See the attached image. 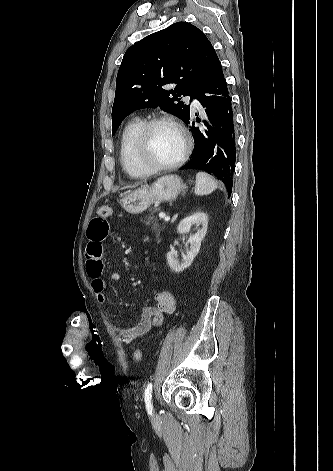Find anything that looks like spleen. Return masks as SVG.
I'll use <instances>...</instances> for the list:
<instances>
[{
	"mask_svg": "<svg viewBox=\"0 0 333 471\" xmlns=\"http://www.w3.org/2000/svg\"><path fill=\"white\" fill-rule=\"evenodd\" d=\"M218 183L209 174L198 172L195 182V194L198 196L209 195L217 189Z\"/></svg>",
	"mask_w": 333,
	"mask_h": 471,
	"instance_id": "3e777b00",
	"label": "spleen"
}]
</instances>
